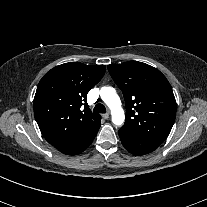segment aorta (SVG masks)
I'll return each instance as SVG.
<instances>
[{
	"label": "aorta",
	"mask_w": 207,
	"mask_h": 207,
	"mask_svg": "<svg viewBox=\"0 0 207 207\" xmlns=\"http://www.w3.org/2000/svg\"><path fill=\"white\" fill-rule=\"evenodd\" d=\"M101 99L110 108L112 115V122L121 126L124 123L125 115L121 107V101L115 89L109 86H104L100 90Z\"/></svg>",
	"instance_id": "aorta-1"
}]
</instances>
